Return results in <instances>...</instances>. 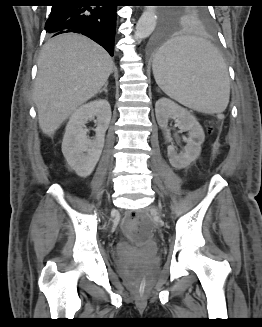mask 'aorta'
I'll list each match as a JSON object with an SVG mask.
<instances>
[{"label":"aorta","instance_id":"762f6f07","mask_svg":"<svg viewBox=\"0 0 262 327\" xmlns=\"http://www.w3.org/2000/svg\"><path fill=\"white\" fill-rule=\"evenodd\" d=\"M156 10L154 6L146 7L136 24L134 34L136 40L145 39L154 31L157 20Z\"/></svg>","mask_w":262,"mask_h":327}]
</instances>
